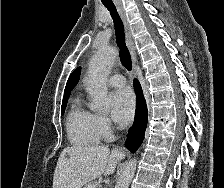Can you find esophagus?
Instances as JSON below:
<instances>
[{
    "instance_id": "34e87169",
    "label": "esophagus",
    "mask_w": 224,
    "mask_h": 188,
    "mask_svg": "<svg viewBox=\"0 0 224 188\" xmlns=\"http://www.w3.org/2000/svg\"><path fill=\"white\" fill-rule=\"evenodd\" d=\"M116 6H117L118 12L121 16V19L123 21V24H124L126 43L129 48L132 62H133V74L136 76V52H135V46H134V42H133V38H132V34H131V28H130V25H129L128 20L125 15V12H124L123 8L121 7V5L117 4Z\"/></svg>"
}]
</instances>
